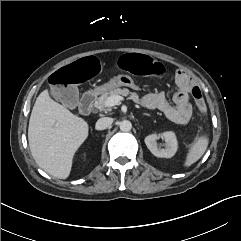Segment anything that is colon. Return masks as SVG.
Masks as SVG:
<instances>
[{
	"mask_svg": "<svg viewBox=\"0 0 241 241\" xmlns=\"http://www.w3.org/2000/svg\"><path fill=\"white\" fill-rule=\"evenodd\" d=\"M119 67L124 72L137 73L142 77L161 79L166 74V65L159 59H151L147 55L124 53L119 58ZM102 65L94 57L74 60L63 69H56L47 77L48 89L55 92V98L60 106L66 110L77 108L81 102V95L77 88L84 86L87 80H94L100 76ZM198 110H206L201 92L192 91Z\"/></svg>",
	"mask_w": 241,
	"mask_h": 241,
	"instance_id": "colon-1",
	"label": "colon"
}]
</instances>
